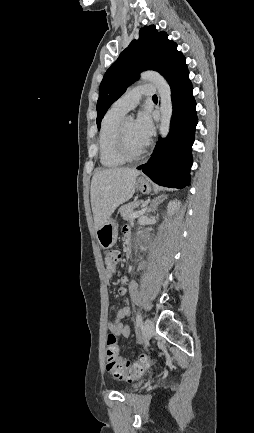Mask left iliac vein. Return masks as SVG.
I'll return each mask as SVG.
<instances>
[{
	"label": "left iliac vein",
	"mask_w": 254,
	"mask_h": 433,
	"mask_svg": "<svg viewBox=\"0 0 254 433\" xmlns=\"http://www.w3.org/2000/svg\"><path fill=\"white\" fill-rule=\"evenodd\" d=\"M144 332L146 340H149L154 332V323L151 319L147 318L144 322Z\"/></svg>",
	"instance_id": "left-iliac-vein-1"
}]
</instances>
